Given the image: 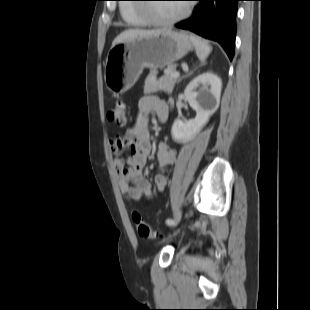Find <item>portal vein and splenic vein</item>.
Instances as JSON below:
<instances>
[{"mask_svg": "<svg viewBox=\"0 0 310 310\" xmlns=\"http://www.w3.org/2000/svg\"><path fill=\"white\" fill-rule=\"evenodd\" d=\"M179 76H180V73L179 72H177V71H175L174 73H172L171 75H170V77L171 78H179Z\"/></svg>", "mask_w": 310, "mask_h": 310, "instance_id": "obj_1", "label": "portal vein and splenic vein"}]
</instances>
